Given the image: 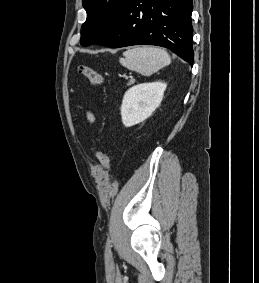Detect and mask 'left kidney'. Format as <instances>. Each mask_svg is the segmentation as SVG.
I'll return each mask as SVG.
<instances>
[{
	"mask_svg": "<svg viewBox=\"0 0 259 283\" xmlns=\"http://www.w3.org/2000/svg\"><path fill=\"white\" fill-rule=\"evenodd\" d=\"M167 85L162 82L142 83L124 95L121 117L125 127H131L150 117L160 105Z\"/></svg>",
	"mask_w": 259,
	"mask_h": 283,
	"instance_id": "1",
	"label": "left kidney"
}]
</instances>
